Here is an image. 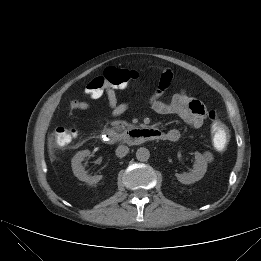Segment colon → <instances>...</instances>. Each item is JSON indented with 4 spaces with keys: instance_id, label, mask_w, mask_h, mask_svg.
Returning a JSON list of instances; mask_svg holds the SVG:
<instances>
[{
    "instance_id": "obj_1",
    "label": "colon",
    "mask_w": 261,
    "mask_h": 261,
    "mask_svg": "<svg viewBox=\"0 0 261 261\" xmlns=\"http://www.w3.org/2000/svg\"><path fill=\"white\" fill-rule=\"evenodd\" d=\"M137 78V72L126 68L109 67L101 76L91 80L86 86V93L92 98H100L106 86L120 87L128 85ZM211 121V137L215 148L225 150L229 143V132L218 114L211 110L208 113ZM76 137V131L71 128L57 127L50 138L51 143L65 146Z\"/></svg>"
}]
</instances>
